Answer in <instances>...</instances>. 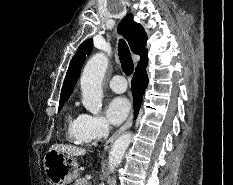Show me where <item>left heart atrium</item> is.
Returning a JSON list of instances; mask_svg holds the SVG:
<instances>
[{
    "label": "left heart atrium",
    "instance_id": "1",
    "mask_svg": "<svg viewBox=\"0 0 233 185\" xmlns=\"http://www.w3.org/2000/svg\"><path fill=\"white\" fill-rule=\"evenodd\" d=\"M129 111V101L125 97L118 96L111 99L108 103L106 116L111 124L118 125L126 119Z\"/></svg>",
    "mask_w": 233,
    "mask_h": 185
}]
</instances>
